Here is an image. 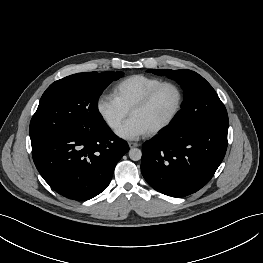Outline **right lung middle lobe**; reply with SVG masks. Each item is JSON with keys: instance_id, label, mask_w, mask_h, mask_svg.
Instances as JSON below:
<instances>
[{"instance_id": "1", "label": "right lung middle lobe", "mask_w": 263, "mask_h": 263, "mask_svg": "<svg viewBox=\"0 0 263 263\" xmlns=\"http://www.w3.org/2000/svg\"><path fill=\"white\" fill-rule=\"evenodd\" d=\"M122 76V72H87L52 83L42 95L31 119V145L62 132L104 124L98 111V99L113 80Z\"/></svg>"}]
</instances>
